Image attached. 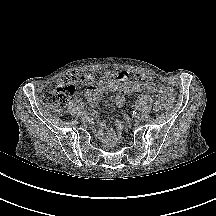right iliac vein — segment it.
Returning <instances> with one entry per match:
<instances>
[{
    "mask_svg": "<svg viewBox=\"0 0 216 216\" xmlns=\"http://www.w3.org/2000/svg\"><path fill=\"white\" fill-rule=\"evenodd\" d=\"M88 119H89V117H88V115H86V114H83V115L81 116V120H82L83 122H86Z\"/></svg>",
    "mask_w": 216,
    "mask_h": 216,
    "instance_id": "right-iliac-vein-1",
    "label": "right iliac vein"
}]
</instances>
